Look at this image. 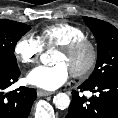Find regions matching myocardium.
I'll return each mask as SVG.
<instances>
[{
	"mask_svg": "<svg viewBox=\"0 0 118 118\" xmlns=\"http://www.w3.org/2000/svg\"><path fill=\"white\" fill-rule=\"evenodd\" d=\"M85 49L89 52V59L87 61V64L82 69L70 72L74 78L83 79L91 74L97 64L99 57L97 45L92 40L84 37L78 40L68 42L58 47V50L66 55H73Z\"/></svg>",
	"mask_w": 118,
	"mask_h": 118,
	"instance_id": "obj_1",
	"label": "myocardium"
}]
</instances>
